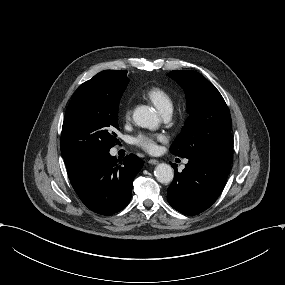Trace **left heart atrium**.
<instances>
[{"mask_svg": "<svg viewBox=\"0 0 285 285\" xmlns=\"http://www.w3.org/2000/svg\"><path fill=\"white\" fill-rule=\"evenodd\" d=\"M162 139V134L160 133H139L134 138L135 143L142 147L148 152H153L156 150V141Z\"/></svg>", "mask_w": 285, "mask_h": 285, "instance_id": "39dd6f15", "label": "left heart atrium"}]
</instances>
